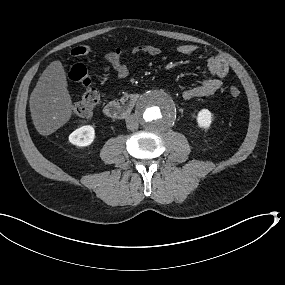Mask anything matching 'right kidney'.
I'll use <instances>...</instances> for the list:
<instances>
[{"instance_id":"1","label":"right kidney","mask_w":285,"mask_h":285,"mask_svg":"<svg viewBox=\"0 0 285 285\" xmlns=\"http://www.w3.org/2000/svg\"><path fill=\"white\" fill-rule=\"evenodd\" d=\"M94 138L95 131L90 125L82 126L69 135V141L79 147L90 145Z\"/></svg>"}]
</instances>
